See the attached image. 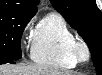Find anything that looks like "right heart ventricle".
<instances>
[{
	"mask_svg": "<svg viewBox=\"0 0 102 75\" xmlns=\"http://www.w3.org/2000/svg\"><path fill=\"white\" fill-rule=\"evenodd\" d=\"M77 36L65 18L57 12H50L39 22L31 48V58L38 63L63 68L74 67L77 60L73 47Z\"/></svg>",
	"mask_w": 102,
	"mask_h": 75,
	"instance_id": "right-heart-ventricle-1",
	"label": "right heart ventricle"
}]
</instances>
